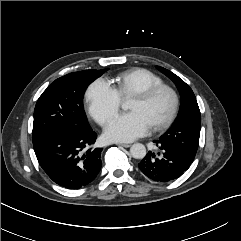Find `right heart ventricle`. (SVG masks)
Wrapping results in <instances>:
<instances>
[{
    "label": "right heart ventricle",
    "mask_w": 241,
    "mask_h": 241,
    "mask_svg": "<svg viewBox=\"0 0 241 241\" xmlns=\"http://www.w3.org/2000/svg\"><path fill=\"white\" fill-rule=\"evenodd\" d=\"M114 82L120 97L128 99L151 86L162 84L163 80L147 69L134 68L120 73Z\"/></svg>",
    "instance_id": "1"
}]
</instances>
